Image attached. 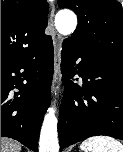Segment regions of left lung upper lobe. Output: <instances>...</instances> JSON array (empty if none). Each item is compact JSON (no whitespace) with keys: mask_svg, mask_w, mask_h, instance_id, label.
I'll return each mask as SVG.
<instances>
[{"mask_svg":"<svg viewBox=\"0 0 123 152\" xmlns=\"http://www.w3.org/2000/svg\"><path fill=\"white\" fill-rule=\"evenodd\" d=\"M77 14L78 25L64 42L123 65V10L117 0H58Z\"/></svg>","mask_w":123,"mask_h":152,"instance_id":"left-lung-upper-lobe-1","label":"left lung upper lobe"}]
</instances>
